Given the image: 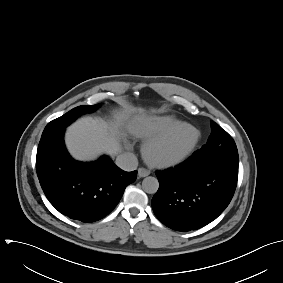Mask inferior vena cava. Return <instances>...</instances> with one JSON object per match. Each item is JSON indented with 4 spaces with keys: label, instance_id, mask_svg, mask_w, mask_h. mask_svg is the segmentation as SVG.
Returning a JSON list of instances; mask_svg holds the SVG:
<instances>
[{
    "label": "inferior vena cava",
    "instance_id": "inferior-vena-cava-1",
    "mask_svg": "<svg viewBox=\"0 0 283 283\" xmlns=\"http://www.w3.org/2000/svg\"><path fill=\"white\" fill-rule=\"evenodd\" d=\"M116 165L125 171H133L138 166V160L133 153L125 152L117 156Z\"/></svg>",
    "mask_w": 283,
    "mask_h": 283
}]
</instances>
